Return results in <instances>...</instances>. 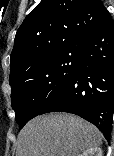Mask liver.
<instances>
[{
  "mask_svg": "<svg viewBox=\"0 0 114 156\" xmlns=\"http://www.w3.org/2000/svg\"><path fill=\"white\" fill-rule=\"evenodd\" d=\"M91 123L72 114L51 113L29 121L18 135L16 156H80L102 144Z\"/></svg>",
  "mask_w": 114,
  "mask_h": 156,
  "instance_id": "obj_1",
  "label": "liver"
}]
</instances>
